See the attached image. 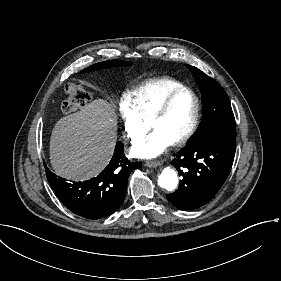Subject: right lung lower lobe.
<instances>
[{"mask_svg": "<svg viewBox=\"0 0 281 281\" xmlns=\"http://www.w3.org/2000/svg\"><path fill=\"white\" fill-rule=\"evenodd\" d=\"M124 156V145L118 142L109 165L97 176L83 182L68 183L47 167L49 183L73 213L87 219H99L113 214L121 205L129 174L139 168Z\"/></svg>", "mask_w": 281, "mask_h": 281, "instance_id": "right-lung-lower-lobe-1", "label": "right lung lower lobe"}]
</instances>
